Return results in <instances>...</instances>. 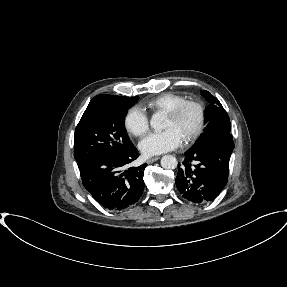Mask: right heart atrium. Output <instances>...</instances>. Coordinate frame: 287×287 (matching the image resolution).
<instances>
[{
    "label": "right heart atrium",
    "instance_id": "d8ad5b80",
    "mask_svg": "<svg viewBox=\"0 0 287 287\" xmlns=\"http://www.w3.org/2000/svg\"><path fill=\"white\" fill-rule=\"evenodd\" d=\"M124 127L129 134L142 137L149 130V118L144 110L133 107L127 111L124 117Z\"/></svg>",
    "mask_w": 287,
    "mask_h": 287
}]
</instances>
